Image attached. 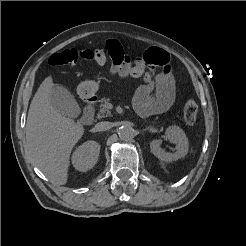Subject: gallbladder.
<instances>
[{"label":"gallbladder","instance_id":"bac80fb5","mask_svg":"<svg viewBox=\"0 0 246 246\" xmlns=\"http://www.w3.org/2000/svg\"><path fill=\"white\" fill-rule=\"evenodd\" d=\"M50 101L55 110L63 116L77 118L81 113L74 96L63 86L52 88Z\"/></svg>","mask_w":246,"mask_h":246}]
</instances>
